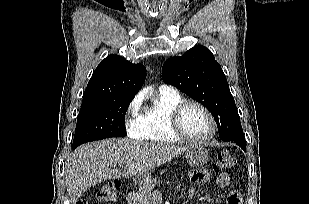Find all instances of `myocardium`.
Returning <instances> with one entry per match:
<instances>
[{
    "mask_svg": "<svg viewBox=\"0 0 309 204\" xmlns=\"http://www.w3.org/2000/svg\"><path fill=\"white\" fill-rule=\"evenodd\" d=\"M188 106H196L200 108L209 119L211 125V131L206 138L203 139L194 138L191 135H189L183 128L181 118L184 110ZM169 125L173 134L176 135L178 138L186 142L199 145L209 143L215 137L217 131V124L211 111L205 105L196 100H182L177 105H175V107L171 110L169 115Z\"/></svg>",
    "mask_w": 309,
    "mask_h": 204,
    "instance_id": "1",
    "label": "myocardium"
}]
</instances>
